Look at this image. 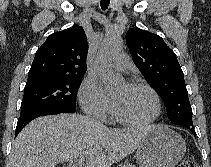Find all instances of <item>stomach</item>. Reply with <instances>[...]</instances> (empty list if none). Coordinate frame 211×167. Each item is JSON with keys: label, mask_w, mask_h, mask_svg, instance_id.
I'll return each instance as SVG.
<instances>
[{"label": "stomach", "mask_w": 211, "mask_h": 167, "mask_svg": "<svg viewBox=\"0 0 211 167\" xmlns=\"http://www.w3.org/2000/svg\"><path fill=\"white\" fill-rule=\"evenodd\" d=\"M186 152L183 138L165 126H154L141 140L136 160L140 167H175Z\"/></svg>", "instance_id": "1"}]
</instances>
